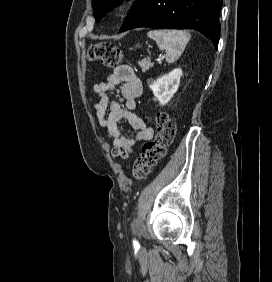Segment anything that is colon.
<instances>
[{
  "label": "colon",
  "instance_id": "obj_1",
  "mask_svg": "<svg viewBox=\"0 0 272 282\" xmlns=\"http://www.w3.org/2000/svg\"><path fill=\"white\" fill-rule=\"evenodd\" d=\"M89 61L98 62L107 67L117 66L123 58L122 51L111 43H96L87 52ZM156 137L143 146L141 155L132 164V175L142 179L165 157L175 137V124L166 113L156 117Z\"/></svg>",
  "mask_w": 272,
  "mask_h": 282
}]
</instances>
